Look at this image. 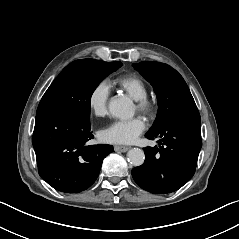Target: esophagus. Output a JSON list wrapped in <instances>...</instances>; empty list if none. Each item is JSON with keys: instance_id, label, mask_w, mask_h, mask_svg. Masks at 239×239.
Instances as JSON below:
<instances>
[{"instance_id": "34e87169", "label": "esophagus", "mask_w": 239, "mask_h": 239, "mask_svg": "<svg viewBox=\"0 0 239 239\" xmlns=\"http://www.w3.org/2000/svg\"><path fill=\"white\" fill-rule=\"evenodd\" d=\"M114 150L116 152H126L128 150V147H125V146H114Z\"/></svg>"}]
</instances>
